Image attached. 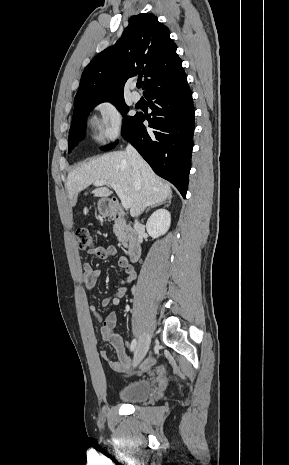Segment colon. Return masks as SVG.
<instances>
[{
	"instance_id": "1",
	"label": "colon",
	"mask_w": 289,
	"mask_h": 465,
	"mask_svg": "<svg viewBox=\"0 0 289 465\" xmlns=\"http://www.w3.org/2000/svg\"><path fill=\"white\" fill-rule=\"evenodd\" d=\"M77 244L80 250H92L95 247V241L88 227H80L76 230Z\"/></svg>"
}]
</instances>
